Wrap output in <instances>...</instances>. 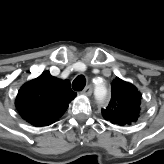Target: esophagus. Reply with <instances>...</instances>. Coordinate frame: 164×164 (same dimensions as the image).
I'll return each mask as SVG.
<instances>
[{"instance_id":"1","label":"esophagus","mask_w":164,"mask_h":164,"mask_svg":"<svg viewBox=\"0 0 164 164\" xmlns=\"http://www.w3.org/2000/svg\"><path fill=\"white\" fill-rule=\"evenodd\" d=\"M92 91H93L92 86L88 85L83 89L82 93L86 96H90L92 94Z\"/></svg>"}]
</instances>
